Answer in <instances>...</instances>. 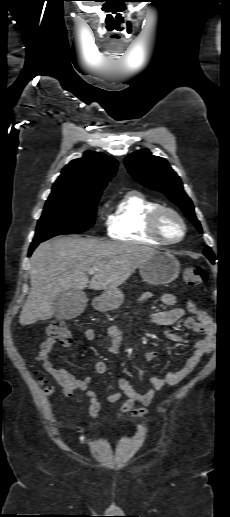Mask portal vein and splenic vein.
Segmentation results:
<instances>
[{
    "label": "portal vein and splenic vein",
    "instance_id": "18ae733b",
    "mask_svg": "<svg viewBox=\"0 0 230 517\" xmlns=\"http://www.w3.org/2000/svg\"><path fill=\"white\" fill-rule=\"evenodd\" d=\"M96 271H97V269H95V268L88 269V273L91 275L94 274Z\"/></svg>",
    "mask_w": 230,
    "mask_h": 517
}]
</instances>
